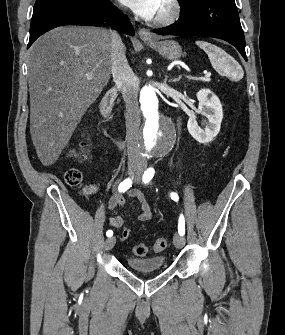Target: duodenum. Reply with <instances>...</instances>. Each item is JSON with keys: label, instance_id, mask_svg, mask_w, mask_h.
Masks as SVG:
<instances>
[{"label": "duodenum", "instance_id": "1", "mask_svg": "<svg viewBox=\"0 0 285 335\" xmlns=\"http://www.w3.org/2000/svg\"><path fill=\"white\" fill-rule=\"evenodd\" d=\"M116 88L113 87L112 89H110L105 96L103 97V99L101 100V103L99 105V113H100V117L102 119V122L104 123V125L108 128H110L112 126V122H113V118H112V114H111V108H112V104L116 95ZM118 145H121L120 141H117Z\"/></svg>", "mask_w": 285, "mask_h": 335}]
</instances>
